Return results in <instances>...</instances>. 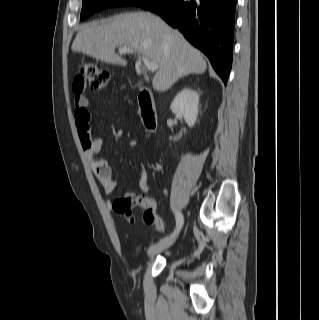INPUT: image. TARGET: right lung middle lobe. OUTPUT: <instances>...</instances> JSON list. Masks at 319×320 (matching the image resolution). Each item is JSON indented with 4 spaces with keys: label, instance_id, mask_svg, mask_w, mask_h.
Returning a JSON list of instances; mask_svg holds the SVG:
<instances>
[{
    "label": "right lung middle lobe",
    "instance_id": "right-lung-middle-lobe-1",
    "mask_svg": "<svg viewBox=\"0 0 319 320\" xmlns=\"http://www.w3.org/2000/svg\"><path fill=\"white\" fill-rule=\"evenodd\" d=\"M152 0H83L81 20L88 18L95 12L109 7L140 6Z\"/></svg>",
    "mask_w": 319,
    "mask_h": 320
}]
</instances>
